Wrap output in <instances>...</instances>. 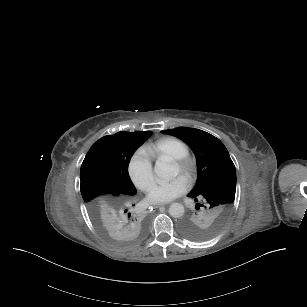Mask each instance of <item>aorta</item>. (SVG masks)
Instances as JSON below:
<instances>
[{
  "mask_svg": "<svg viewBox=\"0 0 307 307\" xmlns=\"http://www.w3.org/2000/svg\"><path fill=\"white\" fill-rule=\"evenodd\" d=\"M154 172L162 180H171L178 175L179 169L164 159H158L155 163ZM184 206L180 203H172L169 214L174 218H180L184 214Z\"/></svg>",
  "mask_w": 307,
  "mask_h": 307,
  "instance_id": "obj_1",
  "label": "aorta"
}]
</instances>
